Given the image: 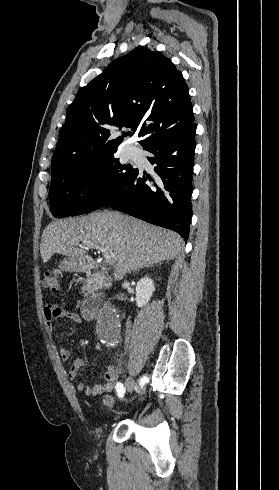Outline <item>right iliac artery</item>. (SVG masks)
I'll use <instances>...</instances> for the list:
<instances>
[{
  "label": "right iliac artery",
  "mask_w": 279,
  "mask_h": 490,
  "mask_svg": "<svg viewBox=\"0 0 279 490\" xmlns=\"http://www.w3.org/2000/svg\"><path fill=\"white\" fill-rule=\"evenodd\" d=\"M141 383V382H140ZM116 391H117V395L120 397V398H123L124 396V393H125V388L123 386L122 383H117V386H116Z\"/></svg>",
  "instance_id": "82829eb1"
}]
</instances>
